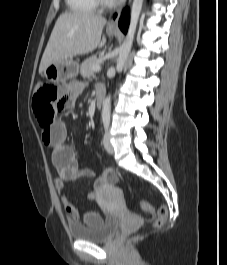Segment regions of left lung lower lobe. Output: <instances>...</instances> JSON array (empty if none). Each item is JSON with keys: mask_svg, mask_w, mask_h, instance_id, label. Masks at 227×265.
Returning a JSON list of instances; mask_svg holds the SVG:
<instances>
[{"mask_svg": "<svg viewBox=\"0 0 227 265\" xmlns=\"http://www.w3.org/2000/svg\"><path fill=\"white\" fill-rule=\"evenodd\" d=\"M128 25H129V14H128V9H125L119 20V27L124 33H126L128 29Z\"/></svg>", "mask_w": 227, "mask_h": 265, "instance_id": "1", "label": "left lung lower lobe"}]
</instances>
